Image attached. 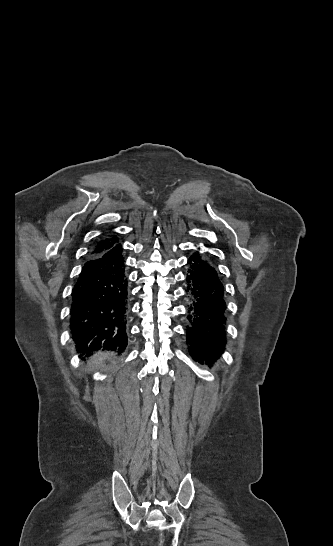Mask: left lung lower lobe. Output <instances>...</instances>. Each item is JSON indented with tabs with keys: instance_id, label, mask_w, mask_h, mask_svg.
I'll return each instance as SVG.
<instances>
[{
	"instance_id": "1",
	"label": "left lung lower lobe",
	"mask_w": 333,
	"mask_h": 546,
	"mask_svg": "<svg viewBox=\"0 0 333 546\" xmlns=\"http://www.w3.org/2000/svg\"><path fill=\"white\" fill-rule=\"evenodd\" d=\"M186 292L191 298L187 343L194 360L209 367L224 352L226 305L224 288L215 269L196 252L188 259Z\"/></svg>"
}]
</instances>
